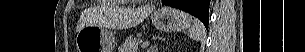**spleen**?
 <instances>
[{
    "label": "spleen",
    "instance_id": "obj_1",
    "mask_svg": "<svg viewBox=\"0 0 305 52\" xmlns=\"http://www.w3.org/2000/svg\"><path fill=\"white\" fill-rule=\"evenodd\" d=\"M205 34V28L198 19H194L192 27L188 30V37L200 40Z\"/></svg>",
    "mask_w": 305,
    "mask_h": 52
}]
</instances>
